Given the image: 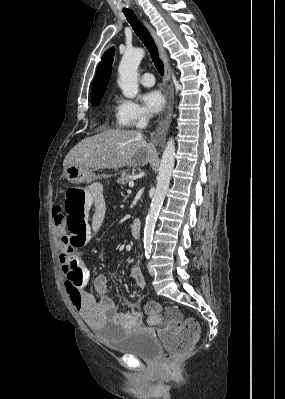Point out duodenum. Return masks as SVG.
I'll list each match as a JSON object with an SVG mask.
<instances>
[{
  "instance_id": "1",
  "label": "duodenum",
  "mask_w": 285,
  "mask_h": 399,
  "mask_svg": "<svg viewBox=\"0 0 285 399\" xmlns=\"http://www.w3.org/2000/svg\"><path fill=\"white\" fill-rule=\"evenodd\" d=\"M130 228L133 238L137 241L140 240L141 231H142V225L140 219L138 218L134 219L133 222L131 223Z\"/></svg>"
}]
</instances>
